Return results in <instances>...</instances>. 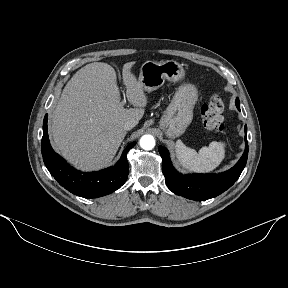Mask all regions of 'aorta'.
<instances>
[{
	"mask_svg": "<svg viewBox=\"0 0 288 288\" xmlns=\"http://www.w3.org/2000/svg\"><path fill=\"white\" fill-rule=\"evenodd\" d=\"M140 146L144 150H152L155 147V139L152 135H144L140 139Z\"/></svg>",
	"mask_w": 288,
	"mask_h": 288,
	"instance_id": "aorta-1",
	"label": "aorta"
}]
</instances>
